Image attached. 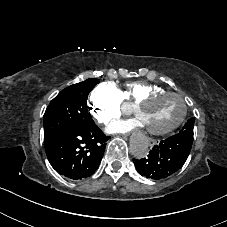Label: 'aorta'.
Wrapping results in <instances>:
<instances>
[{
    "label": "aorta",
    "instance_id": "obj_1",
    "mask_svg": "<svg viewBox=\"0 0 227 227\" xmlns=\"http://www.w3.org/2000/svg\"><path fill=\"white\" fill-rule=\"evenodd\" d=\"M131 154L136 159H141L147 156L149 151V143L146 138L140 137L132 140L130 145Z\"/></svg>",
    "mask_w": 227,
    "mask_h": 227
}]
</instances>
